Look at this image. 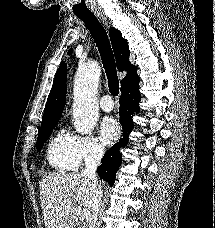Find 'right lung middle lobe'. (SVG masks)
<instances>
[{
	"mask_svg": "<svg viewBox=\"0 0 215 228\" xmlns=\"http://www.w3.org/2000/svg\"><path fill=\"white\" fill-rule=\"evenodd\" d=\"M56 124L57 122L41 125L39 136L36 143L37 151H40L42 149L44 142L49 138Z\"/></svg>",
	"mask_w": 215,
	"mask_h": 228,
	"instance_id": "obj_1",
	"label": "right lung middle lobe"
}]
</instances>
